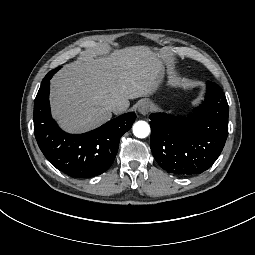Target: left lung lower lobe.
<instances>
[{
  "label": "left lung lower lobe",
  "mask_w": 255,
  "mask_h": 255,
  "mask_svg": "<svg viewBox=\"0 0 255 255\" xmlns=\"http://www.w3.org/2000/svg\"><path fill=\"white\" fill-rule=\"evenodd\" d=\"M205 101L194 118L152 113L150 147L158 164L176 175L202 173L219 157L228 136L229 107L216 83L207 81Z\"/></svg>",
  "instance_id": "left-lung-lower-lobe-1"
}]
</instances>
